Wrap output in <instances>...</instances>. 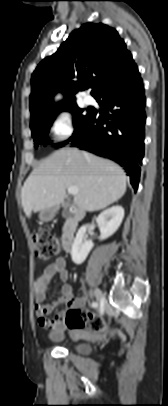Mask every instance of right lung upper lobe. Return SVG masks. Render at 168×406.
Instances as JSON below:
<instances>
[{"mask_svg":"<svg viewBox=\"0 0 168 406\" xmlns=\"http://www.w3.org/2000/svg\"><path fill=\"white\" fill-rule=\"evenodd\" d=\"M136 67L118 32L102 23H86L74 30L55 54L45 58L32 74L31 124L76 104L75 94L92 86L103 88L127 76ZM62 92L61 104L53 96Z\"/></svg>","mask_w":168,"mask_h":406,"instance_id":"cb5924a9","label":"right lung upper lobe"}]
</instances>
